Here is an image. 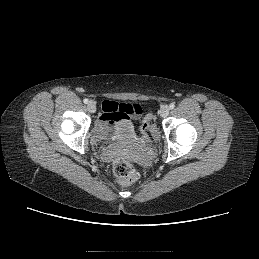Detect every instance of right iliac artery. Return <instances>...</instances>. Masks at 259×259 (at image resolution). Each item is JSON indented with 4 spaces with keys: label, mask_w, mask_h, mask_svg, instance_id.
Segmentation results:
<instances>
[{
    "label": "right iliac artery",
    "mask_w": 259,
    "mask_h": 259,
    "mask_svg": "<svg viewBox=\"0 0 259 259\" xmlns=\"http://www.w3.org/2000/svg\"><path fill=\"white\" fill-rule=\"evenodd\" d=\"M83 102H84L85 104H87V103H88V99L85 98V99L83 100Z\"/></svg>",
    "instance_id": "1"
}]
</instances>
